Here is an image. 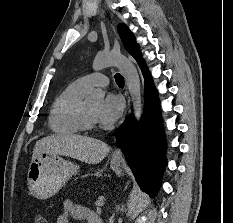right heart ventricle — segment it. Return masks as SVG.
Masks as SVG:
<instances>
[{"label":"right heart ventricle","instance_id":"obj_1","mask_svg":"<svg viewBox=\"0 0 233 223\" xmlns=\"http://www.w3.org/2000/svg\"><path fill=\"white\" fill-rule=\"evenodd\" d=\"M87 90L79 80H76L59 93L48 117L49 128L53 133L70 136L84 131L80 123V111Z\"/></svg>","mask_w":233,"mask_h":223}]
</instances>
